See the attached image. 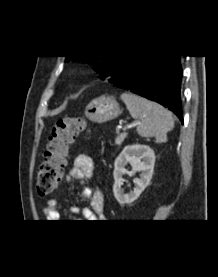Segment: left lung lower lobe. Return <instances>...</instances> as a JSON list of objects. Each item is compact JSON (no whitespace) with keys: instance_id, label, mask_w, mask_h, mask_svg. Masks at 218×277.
I'll use <instances>...</instances> for the list:
<instances>
[{"instance_id":"left-lung-lower-lobe-1","label":"left lung lower lobe","mask_w":218,"mask_h":277,"mask_svg":"<svg viewBox=\"0 0 218 277\" xmlns=\"http://www.w3.org/2000/svg\"><path fill=\"white\" fill-rule=\"evenodd\" d=\"M180 56L136 55L109 81L167 107L183 123Z\"/></svg>"}]
</instances>
